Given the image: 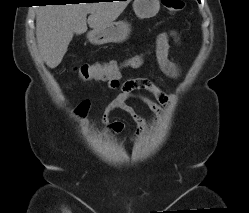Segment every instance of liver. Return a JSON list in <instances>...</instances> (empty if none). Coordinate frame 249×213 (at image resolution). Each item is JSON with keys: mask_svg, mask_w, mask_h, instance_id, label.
Returning <instances> with one entry per match:
<instances>
[{"mask_svg": "<svg viewBox=\"0 0 249 213\" xmlns=\"http://www.w3.org/2000/svg\"><path fill=\"white\" fill-rule=\"evenodd\" d=\"M130 0L79 4L46 5L38 9L36 38L39 52L49 68L57 67L74 34L104 27L127 7ZM87 14L90 16L87 19Z\"/></svg>", "mask_w": 249, "mask_h": 213, "instance_id": "6515ba94", "label": "liver"}]
</instances>
